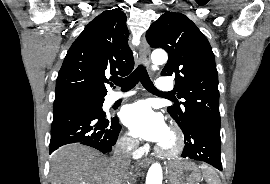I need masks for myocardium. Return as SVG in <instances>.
<instances>
[{
    "mask_svg": "<svg viewBox=\"0 0 270 184\" xmlns=\"http://www.w3.org/2000/svg\"><path fill=\"white\" fill-rule=\"evenodd\" d=\"M171 143L169 146H162L161 144L156 148L158 155L164 158H175L181 154L184 148V138L181 130L177 126H172L168 132Z\"/></svg>",
    "mask_w": 270,
    "mask_h": 184,
    "instance_id": "myocardium-1",
    "label": "myocardium"
}]
</instances>
